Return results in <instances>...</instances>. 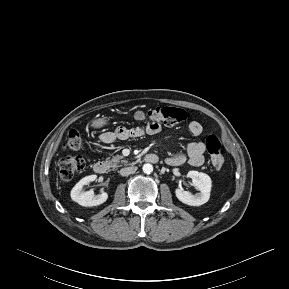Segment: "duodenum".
Listing matches in <instances>:
<instances>
[{"label": "duodenum", "instance_id": "410a0bca", "mask_svg": "<svg viewBox=\"0 0 289 289\" xmlns=\"http://www.w3.org/2000/svg\"><path fill=\"white\" fill-rule=\"evenodd\" d=\"M159 160L156 154H147L144 156V161L148 163H157ZM93 170L97 174H106L109 171V166L104 161H96L93 164Z\"/></svg>", "mask_w": 289, "mask_h": 289}]
</instances>
